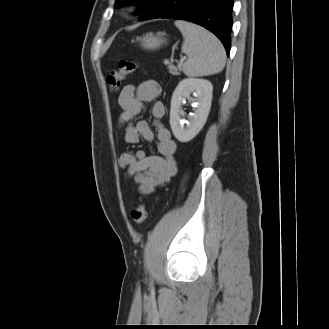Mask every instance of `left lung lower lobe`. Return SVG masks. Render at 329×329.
I'll return each mask as SVG.
<instances>
[{
  "label": "left lung lower lobe",
  "mask_w": 329,
  "mask_h": 329,
  "mask_svg": "<svg viewBox=\"0 0 329 329\" xmlns=\"http://www.w3.org/2000/svg\"><path fill=\"white\" fill-rule=\"evenodd\" d=\"M232 11V0H156L140 20L167 18L196 23L214 33L229 55Z\"/></svg>",
  "instance_id": "1"
}]
</instances>
